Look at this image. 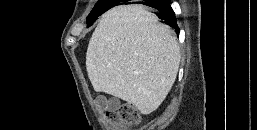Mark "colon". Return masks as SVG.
Instances as JSON below:
<instances>
[{"mask_svg": "<svg viewBox=\"0 0 257 130\" xmlns=\"http://www.w3.org/2000/svg\"><path fill=\"white\" fill-rule=\"evenodd\" d=\"M108 119L122 128L135 126L140 121V116L133 105L124 104L107 113Z\"/></svg>", "mask_w": 257, "mask_h": 130, "instance_id": "colon-1", "label": "colon"}]
</instances>
